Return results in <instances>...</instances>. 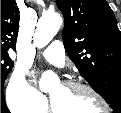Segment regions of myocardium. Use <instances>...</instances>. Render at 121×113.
I'll return each instance as SVG.
<instances>
[{
	"label": "myocardium",
	"mask_w": 121,
	"mask_h": 113,
	"mask_svg": "<svg viewBox=\"0 0 121 113\" xmlns=\"http://www.w3.org/2000/svg\"><path fill=\"white\" fill-rule=\"evenodd\" d=\"M63 87L69 89V90H73V91H77V92H88L91 93L96 99H98L101 104L104 107V110L102 113H109L110 107H109V103L107 102V100L98 92L96 91L93 87L86 85L84 83H79V82H74V81H66L63 82L61 84ZM49 106H50V110L52 113H59L52 100L49 98Z\"/></svg>",
	"instance_id": "obj_1"
}]
</instances>
